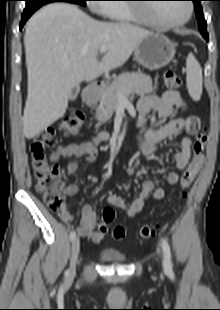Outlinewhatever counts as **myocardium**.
Returning <instances> with one entry per match:
<instances>
[{"label": "myocardium", "mask_w": 220, "mask_h": 310, "mask_svg": "<svg viewBox=\"0 0 220 310\" xmlns=\"http://www.w3.org/2000/svg\"><path fill=\"white\" fill-rule=\"evenodd\" d=\"M185 5L187 7V14L180 21L173 22V23L165 22V21L157 18L153 13L151 14L150 10H148V15H149L148 20H149L151 25H153L154 27H157V28H163V29L179 28V27L183 26L184 24H186L192 17V13H193L192 5L190 3H186ZM133 9L139 17L146 18L145 17L147 14L146 10H144L140 7H134Z\"/></svg>", "instance_id": "myocardium-1"}]
</instances>
